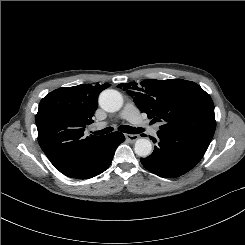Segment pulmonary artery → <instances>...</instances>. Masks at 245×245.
<instances>
[{
	"mask_svg": "<svg viewBox=\"0 0 245 245\" xmlns=\"http://www.w3.org/2000/svg\"><path fill=\"white\" fill-rule=\"evenodd\" d=\"M120 117L128 120L129 122H131L137 126L147 127L146 121L143 120V118L139 114L138 110L131 103H128L125 105L122 112L120 113ZM105 125H106V122H99L94 126V128L101 129ZM158 130H159V125H155V126L151 127L149 131L152 135H156Z\"/></svg>",
	"mask_w": 245,
	"mask_h": 245,
	"instance_id": "pulmonary-artery-1",
	"label": "pulmonary artery"
}]
</instances>
